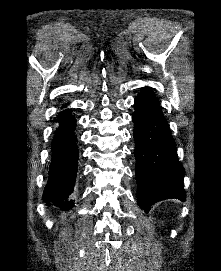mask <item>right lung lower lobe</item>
<instances>
[{
	"label": "right lung lower lobe",
	"mask_w": 221,
	"mask_h": 271,
	"mask_svg": "<svg viewBox=\"0 0 221 271\" xmlns=\"http://www.w3.org/2000/svg\"><path fill=\"white\" fill-rule=\"evenodd\" d=\"M57 122L43 200L67 211L74 205L73 200L68 199V196L73 192L77 174L78 146L74 133L76 120L68 109L58 114Z\"/></svg>",
	"instance_id": "right-lung-lower-lobe-1"
}]
</instances>
